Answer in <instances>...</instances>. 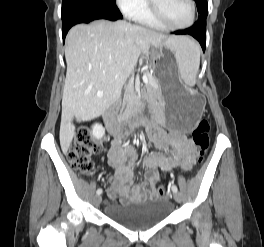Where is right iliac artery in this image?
<instances>
[{"label":"right iliac artery","mask_w":264,"mask_h":247,"mask_svg":"<svg viewBox=\"0 0 264 247\" xmlns=\"http://www.w3.org/2000/svg\"><path fill=\"white\" fill-rule=\"evenodd\" d=\"M96 193H97V195H100V194L102 193V189H98V190L96 191Z\"/></svg>","instance_id":"1"}]
</instances>
